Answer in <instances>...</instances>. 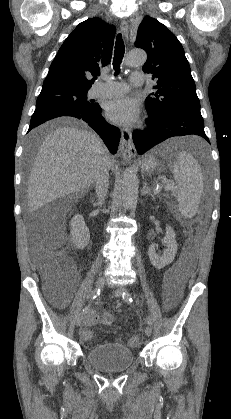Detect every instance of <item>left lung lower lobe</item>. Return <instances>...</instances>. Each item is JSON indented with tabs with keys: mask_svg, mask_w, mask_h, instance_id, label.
<instances>
[{
	"mask_svg": "<svg viewBox=\"0 0 231 419\" xmlns=\"http://www.w3.org/2000/svg\"><path fill=\"white\" fill-rule=\"evenodd\" d=\"M148 114L147 129L133 133L134 144L139 154L174 136L198 135L209 142L204 132L200 107L187 106L163 112L148 111Z\"/></svg>",
	"mask_w": 231,
	"mask_h": 419,
	"instance_id": "left-lung-lower-lobe-1",
	"label": "left lung lower lobe"
}]
</instances>
